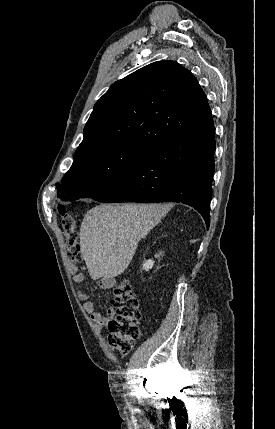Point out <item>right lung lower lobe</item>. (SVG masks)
I'll return each instance as SVG.
<instances>
[{
  "mask_svg": "<svg viewBox=\"0 0 275 429\" xmlns=\"http://www.w3.org/2000/svg\"><path fill=\"white\" fill-rule=\"evenodd\" d=\"M214 153L212 124L161 144L136 169L91 198L101 202H181L199 210L209 227Z\"/></svg>",
  "mask_w": 275,
  "mask_h": 429,
  "instance_id": "98d812e1",
  "label": "right lung lower lobe"
}]
</instances>
